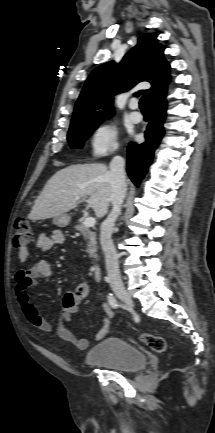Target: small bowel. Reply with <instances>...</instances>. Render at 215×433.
Instances as JSON below:
<instances>
[{"label": "small bowel", "mask_w": 215, "mask_h": 433, "mask_svg": "<svg viewBox=\"0 0 215 433\" xmlns=\"http://www.w3.org/2000/svg\"><path fill=\"white\" fill-rule=\"evenodd\" d=\"M65 236L62 231L54 230L50 233L39 234L36 247L42 251H49L53 246L62 244ZM19 259L27 261L31 252L28 248L19 250ZM52 278V269L47 259H41L29 268L20 269L15 275V298L19 309L25 319L34 327L45 331L54 332L63 341L74 345L79 350H85L89 347L90 341L86 338H78L76 335L65 328L63 320L70 322L72 317L79 312L81 302L88 295V284L85 282L78 283L72 291L64 294L62 299V310L57 314L55 324L49 323L31 304L28 296V289L42 283L50 281ZM102 326L94 336V341H99L104 338L110 329V319L113 316L111 307L104 303L102 304Z\"/></svg>", "instance_id": "small-bowel-1"}]
</instances>
